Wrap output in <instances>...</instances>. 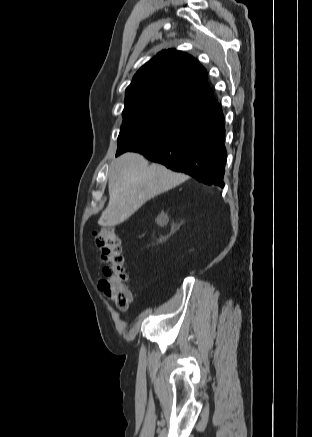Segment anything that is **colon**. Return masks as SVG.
Returning <instances> with one entry per match:
<instances>
[{"label":"colon","instance_id":"5ec220e1","mask_svg":"<svg viewBox=\"0 0 312 437\" xmlns=\"http://www.w3.org/2000/svg\"><path fill=\"white\" fill-rule=\"evenodd\" d=\"M94 239L105 262L102 269L103 278L99 282L100 288L119 309L125 310L130 304L131 292L126 284L128 276L124 268L121 240L111 227L94 233Z\"/></svg>","mask_w":312,"mask_h":437}]
</instances>
